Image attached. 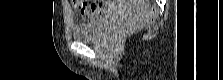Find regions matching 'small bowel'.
I'll return each mask as SVG.
<instances>
[{
	"label": "small bowel",
	"mask_w": 223,
	"mask_h": 80,
	"mask_svg": "<svg viewBox=\"0 0 223 80\" xmlns=\"http://www.w3.org/2000/svg\"><path fill=\"white\" fill-rule=\"evenodd\" d=\"M111 6H112V4H110L108 1L98 2L96 4V8H95L94 12H92L86 16H83V15L82 16L84 18H86L87 20L93 21V20L97 19L100 15L104 14ZM74 8L76 9L75 4H74Z\"/></svg>",
	"instance_id": "1"
}]
</instances>
